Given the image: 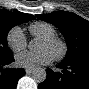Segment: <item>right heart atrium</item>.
<instances>
[{"mask_svg":"<svg viewBox=\"0 0 89 89\" xmlns=\"http://www.w3.org/2000/svg\"><path fill=\"white\" fill-rule=\"evenodd\" d=\"M7 44L16 53L23 51L27 47V40L21 28L15 26L8 32Z\"/></svg>","mask_w":89,"mask_h":89,"instance_id":"obj_1","label":"right heart atrium"}]
</instances>
